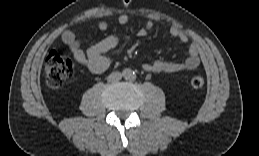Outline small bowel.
<instances>
[{"label":"small bowel","mask_w":259,"mask_h":156,"mask_svg":"<svg viewBox=\"0 0 259 156\" xmlns=\"http://www.w3.org/2000/svg\"><path fill=\"white\" fill-rule=\"evenodd\" d=\"M129 21L130 18L126 14L120 15L118 18L120 25H126ZM153 26L154 23L151 20L147 21L139 30V35L142 37L146 36ZM98 27L103 32L107 31L108 23L102 21L99 23ZM170 34L182 43L188 41L187 34L178 27L171 28ZM62 41L68 47L75 60L93 73H102L111 65V60L107 56V53L118 45L119 39L114 35H109L89 47L87 50H83L76 33L73 30H67L62 34ZM199 65L200 55L198 46L195 43H191L188 49V56L184 61L171 62L155 60L143 63L142 68L143 70L152 73H175L180 71H193L198 68Z\"/></svg>","instance_id":"c3829d8e"}]
</instances>
